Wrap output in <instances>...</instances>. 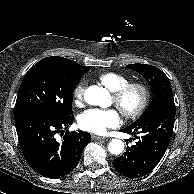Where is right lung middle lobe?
I'll list each match as a JSON object with an SVG mask.
<instances>
[{"label":"right lung middle lobe","mask_w":194,"mask_h":194,"mask_svg":"<svg viewBox=\"0 0 194 194\" xmlns=\"http://www.w3.org/2000/svg\"><path fill=\"white\" fill-rule=\"evenodd\" d=\"M90 69L73 66L63 57L42 59L25 74L14 115L28 111L45 112L59 118L70 115L76 84Z\"/></svg>","instance_id":"obj_1"}]
</instances>
